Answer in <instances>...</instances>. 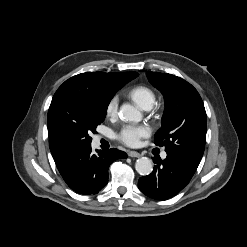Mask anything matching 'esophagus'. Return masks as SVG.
Listing matches in <instances>:
<instances>
[{
	"mask_svg": "<svg viewBox=\"0 0 247 247\" xmlns=\"http://www.w3.org/2000/svg\"><path fill=\"white\" fill-rule=\"evenodd\" d=\"M128 156L132 157V158H138V157H141V154L139 152H136V151H129Z\"/></svg>",
	"mask_w": 247,
	"mask_h": 247,
	"instance_id": "1",
	"label": "esophagus"
}]
</instances>
